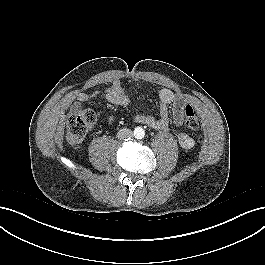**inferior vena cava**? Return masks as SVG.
Returning a JSON list of instances; mask_svg holds the SVG:
<instances>
[{
	"instance_id": "inferior-vena-cava-1",
	"label": "inferior vena cava",
	"mask_w": 265,
	"mask_h": 265,
	"mask_svg": "<svg viewBox=\"0 0 265 265\" xmlns=\"http://www.w3.org/2000/svg\"><path fill=\"white\" fill-rule=\"evenodd\" d=\"M132 136H133L132 131L130 129H127V128H123V129L119 130V132L117 133V138L119 140L131 138Z\"/></svg>"
}]
</instances>
